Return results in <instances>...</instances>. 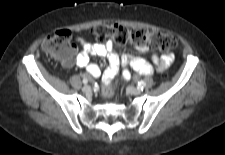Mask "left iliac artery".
Segmentation results:
<instances>
[{
	"mask_svg": "<svg viewBox=\"0 0 225 155\" xmlns=\"http://www.w3.org/2000/svg\"><path fill=\"white\" fill-rule=\"evenodd\" d=\"M146 83L144 81H140L138 82V86L137 88L140 89V90H143V88L145 87Z\"/></svg>",
	"mask_w": 225,
	"mask_h": 155,
	"instance_id": "1",
	"label": "left iliac artery"
}]
</instances>
